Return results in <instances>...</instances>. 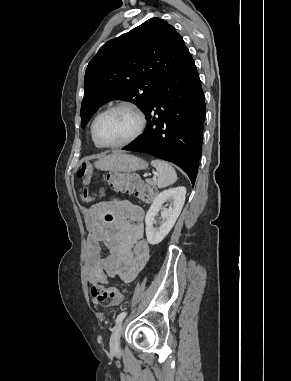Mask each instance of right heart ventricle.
<instances>
[{
	"label": "right heart ventricle",
	"mask_w": 291,
	"mask_h": 381,
	"mask_svg": "<svg viewBox=\"0 0 291 381\" xmlns=\"http://www.w3.org/2000/svg\"><path fill=\"white\" fill-rule=\"evenodd\" d=\"M92 140H93L94 145H95L96 147H101V146L95 141V139L93 138V135H92Z\"/></svg>",
	"instance_id": "e07e8e85"
}]
</instances>
